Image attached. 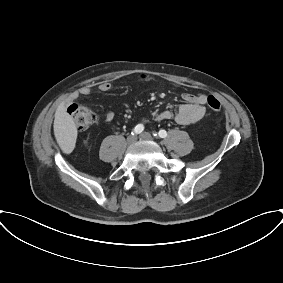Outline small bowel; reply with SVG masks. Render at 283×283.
Segmentation results:
<instances>
[{
    "instance_id": "c3829d8e",
    "label": "small bowel",
    "mask_w": 283,
    "mask_h": 283,
    "mask_svg": "<svg viewBox=\"0 0 283 283\" xmlns=\"http://www.w3.org/2000/svg\"><path fill=\"white\" fill-rule=\"evenodd\" d=\"M141 78L146 81L150 80V77L147 75H141ZM111 88L112 85L109 82H102L98 85V90L102 93L109 92ZM91 95L92 90L89 87H83L78 93L73 95V98L77 99L79 96L89 97ZM182 98L184 103L178 107L175 114L169 110H165L158 113L156 118L158 120H170L174 118L181 125H190L201 120L205 114L207 96L204 94L184 93ZM103 117L105 122H111L114 120L115 114L112 111H106Z\"/></svg>"
}]
</instances>
